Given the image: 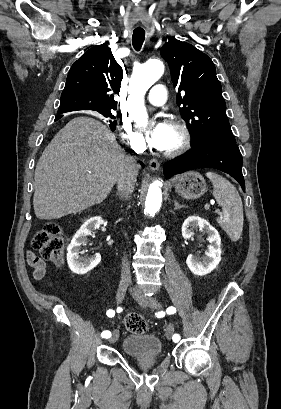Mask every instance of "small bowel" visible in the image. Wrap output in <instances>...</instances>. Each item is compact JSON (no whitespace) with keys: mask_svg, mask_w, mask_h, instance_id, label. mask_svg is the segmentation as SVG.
Wrapping results in <instances>:
<instances>
[{"mask_svg":"<svg viewBox=\"0 0 281 409\" xmlns=\"http://www.w3.org/2000/svg\"><path fill=\"white\" fill-rule=\"evenodd\" d=\"M24 257L27 259V261L28 259L33 258V261L30 260L28 262L29 265L34 269L32 278L34 282H41L46 272V266H45L43 259L36 256L32 250H26L24 252ZM42 273H43V277H42Z\"/></svg>","mask_w":281,"mask_h":409,"instance_id":"small-bowel-1","label":"small bowel"}]
</instances>
